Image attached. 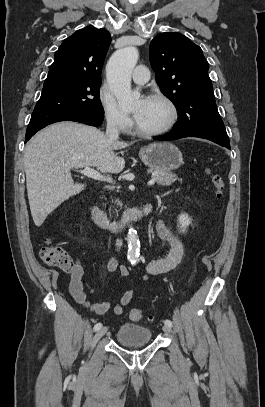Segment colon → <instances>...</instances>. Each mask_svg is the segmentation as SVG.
I'll list each match as a JSON object with an SVG mask.
<instances>
[{
	"label": "colon",
	"mask_w": 265,
	"mask_h": 407,
	"mask_svg": "<svg viewBox=\"0 0 265 407\" xmlns=\"http://www.w3.org/2000/svg\"><path fill=\"white\" fill-rule=\"evenodd\" d=\"M207 174L215 190V198L221 199L224 194V180L222 176L213 171L207 169ZM40 257L42 261L51 267H56L61 270L69 271L73 268L74 263L69 254L61 247L53 244L51 241L46 240L40 250ZM129 318L133 321H151V316H146L139 309H131L129 312Z\"/></svg>",
	"instance_id": "5ec220e1"
}]
</instances>
